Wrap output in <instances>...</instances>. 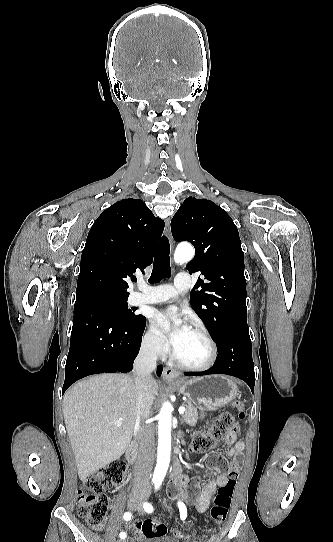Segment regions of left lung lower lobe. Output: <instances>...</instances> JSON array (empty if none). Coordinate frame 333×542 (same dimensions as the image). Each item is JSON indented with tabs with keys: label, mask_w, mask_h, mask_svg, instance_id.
Here are the masks:
<instances>
[{
	"label": "left lung lower lobe",
	"mask_w": 333,
	"mask_h": 542,
	"mask_svg": "<svg viewBox=\"0 0 333 542\" xmlns=\"http://www.w3.org/2000/svg\"><path fill=\"white\" fill-rule=\"evenodd\" d=\"M218 355L212 368L199 373H185L186 376L227 374L244 380L254 390L255 373L252 359V345L247 328H231L217 344Z\"/></svg>",
	"instance_id": "0a47b994"
}]
</instances>
